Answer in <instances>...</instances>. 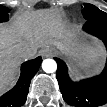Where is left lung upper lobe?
I'll return each instance as SVG.
<instances>
[{
	"instance_id": "left-lung-upper-lobe-1",
	"label": "left lung upper lobe",
	"mask_w": 107,
	"mask_h": 107,
	"mask_svg": "<svg viewBox=\"0 0 107 107\" xmlns=\"http://www.w3.org/2000/svg\"><path fill=\"white\" fill-rule=\"evenodd\" d=\"M82 14L86 20H91L93 18L107 15V13L99 10L96 6L89 3L84 4Z\"/></svg>"
}]
</instances>
